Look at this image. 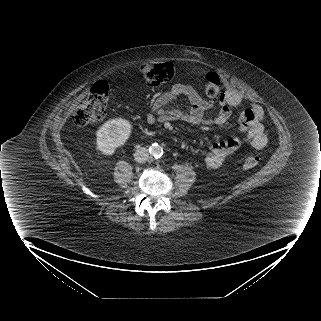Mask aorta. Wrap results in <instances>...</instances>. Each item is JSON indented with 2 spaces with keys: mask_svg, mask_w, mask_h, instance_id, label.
I'll use <instances>...</instances> for the list:
<instances>
[{
  "mask_svg": "<svg viewBox=\"0 0 321 321\" xmlns=\"http://www.w3.org/2000/svg\"><path fill=\"white\" fill-rule=\"evenodd\" d=\"M149 152L152 156L159 158L163 155V148L157 143H154L149 147Z\"/></svg>",
  "mask_w": 321,
  "mask_h": 321,
  "instance_id": "1",
  "label": "aorta"
}]
</instances>
